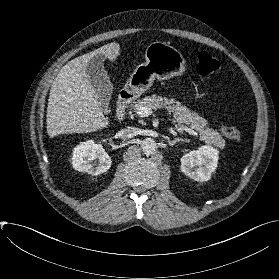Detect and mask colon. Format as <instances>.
<instances>
[{
	"label": "colon",
	"mask_w": 279,
	"mask_h": 279,
	"mask_svg": "<svg viewBox=\"0 0 279 279\" xmlns=\"http://www.w3.org/2000/svg\"><path fill=\"white\" fill-rule=\"evenodd\" d=\"M195 71L202 76L216 72L219 69V61L207 51H197L195 53ZM221 131L227 138L235 141L241 139L240 131L230 125H222Z\"/></svg>",
	"instance_id": "1"
}]
</instances>
